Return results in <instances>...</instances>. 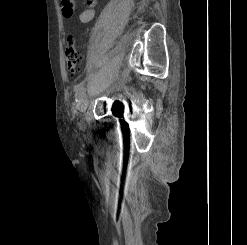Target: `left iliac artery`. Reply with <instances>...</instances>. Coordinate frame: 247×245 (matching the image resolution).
Instances as JSON below:
<instances>
[{
  "mask_svg": "<svg viewBox=\"0 0 247 245\" xmlns=\"http://www.w3.org/2000/svg\"><path fill=\"white\" fill-rule=\"evenodd\" d=\"M85 93H86V88L84 87V85L80 84L75 94L76 102L78 103L81 102V100L85 96Z\"/></svg>",
  "mask_w": 247,
  "mask_h": 245,
  "instance_id": "left-iliac-artery-1",
  "label": "left iliac artery"
}]
</instances>
